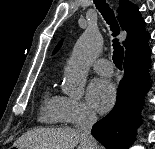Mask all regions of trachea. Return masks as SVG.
Masks as SVG:
<instances>
[{
  "label": "trachea",
  "instance_id": "3493384b",
  "mask_svg": "<svg viewBox=\"0 0 155 149\" xmlns=\"http://www.w3.org/2000/svg\"><path fill=\"white\" fill-rule=\"evenodd\" d=\"M94 3L97 9L101 12L104 19L111 26V30L113 31V36H117L119 34V25L114 17L113 10L110 9L109 5L105 0H94ZM113 61L118 69H122V62L124 58V49L119 45L118 40H113Z\"/></svg>",
  "mask_w": 155,
  "mask_h": 149
}]
</instances>
